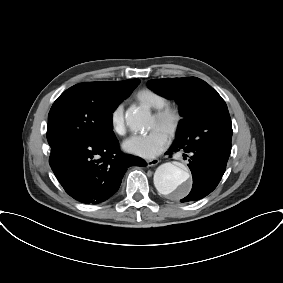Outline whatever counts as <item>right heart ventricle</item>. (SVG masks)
I'll return each mask as SVG.
<instances>
[{"mask_svg": "<svg viewBox=\"0 0 283 283\" xmlns=\"http://www.w3.org/2000/svg\"><path fill=\"white\" fill-rule=\"evenodd\" d=\"M135 98L140 104L152 109L161 108L168 103L167 98L163 94L149 88L139 90Z\"/></svg>", "mask_w": 283, "mask_h": 283, "instance_id": "right-heart-ventricle-1", "label": "right heart ventricle"}]
</instances>
